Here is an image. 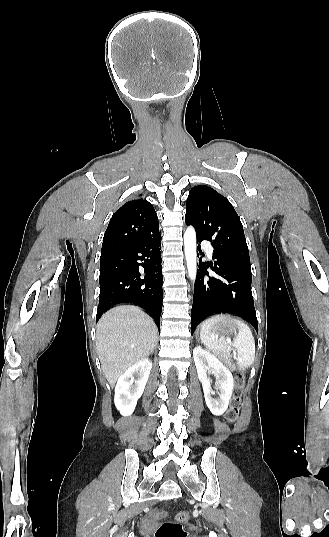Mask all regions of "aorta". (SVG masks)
I'll use <instances>...</instances> for the list:
<instances>
[{"label":"aorta","instance_id":"1","mask_svg":"<svg viewBox=\"0 0 329 537\" xmlns=\"http://www.w3.org/2000/svg\"><path fill=\"white\" fill-rule=\"evenodd\" d=\"M184 252L188 276L194 283L197 274V245L196 232L193 227H188L184 233Z\"/></svg>","mask_w":329,"mask_h":537}]
</instances>
